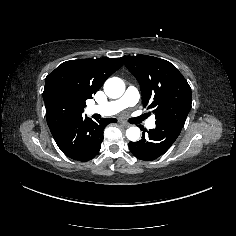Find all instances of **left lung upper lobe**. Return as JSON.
I'll return each instance as SVG.
<instances>
[{
	"label": "left lung upper lobe",
	"mask_w": 236,
	"mask_h": 236,
	"mask_svg": "<svg viewBox=\"0 0 236 236\" xmlns=\"http://www.w3.org/2000/svg\"><path fill=\"white\" fill-rule=\"evenodd\" d=\"M124 64L138 80L143 105L153 108L156 123L183 127L191 109V88L170 62L146 55L124 56Z\"/></svg>",
	"instance_id": "5c2ea615"
}]
</instances>
